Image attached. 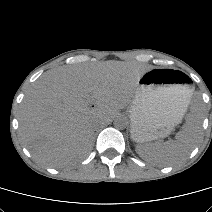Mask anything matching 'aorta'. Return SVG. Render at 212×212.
<instances>
[{"mask_svg":"<svg viewBox=\"0 0 212 212\" xmlns=\"http://www.w3.org/2000/svg\"><path fill=\"white\" fill-rule=\"evenodd\" d=\"M113 124L117 129H125L128 125V119L124 116H117Z\"/></svg>","mask_w":212,"mask_h":212,"instance_id":"1","label":"aorta"}]
</instances>
